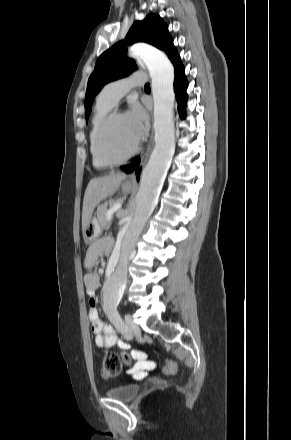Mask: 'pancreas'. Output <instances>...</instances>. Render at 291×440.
Wrapping results in <instances>:
<instances>
[{"mask_svg":"<svg viewBox=\"0 0 291 440\" xmlns=\"http://www.w3.org/2000/svg\"><path fill=\"white\" fill-rule=\"evenodd\" d=\"M120 202H121L120 200L111 201V202H109V206L112 207L115 204H118ZM107 207H108V203H104V204L100 205L97 209V219H98L99 224L102 227H108V225L110 224V221L109 222L107 221V212H108Z\"/></svg>","mask_w":291,"mask_h":440,"instance_id":"pancreas-1","label":"pancreas"}]
</instances>
